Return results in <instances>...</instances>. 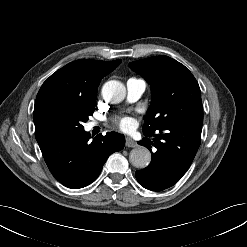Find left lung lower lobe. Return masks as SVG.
<instances>
[{
    "label": "left lung lower lobe",
    "instance_id": "0a47b994",
    "mask_svg": "<svg viewBox=\"0 0 247 247\" xmlns=\"http://www.w3.org/2000/svg\"><path fill=\"white\" fill-rule=\"evenodd\" d=\"M202 125L174 122L156 133L144 134L138 143L152 153L151 163L136 171L137 181L146 189L162 191L173 186L189 169L200 146ZM152 146L154 152H152Z\"/></svg>",
    "mask_w": 247,
    "mask_h": 247
}]
</instances>
